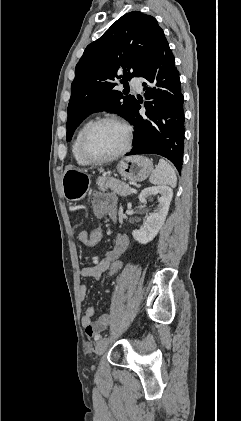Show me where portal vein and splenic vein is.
<instances>
[{"label":"portal vein and splenic vein","mask_w":241,"mask_h":421,"mask_svg":"<svg viewBox=\"0 0 241 421\" xmlns=\"http://www.w3.org/2000/svg\"><path fill=\"white\" fill-rule=\"evenodd\" d=\"M131 191H132V193H136L137 192L136 189H134V188H131Z\"/></svg>","instance_id":"obj_1"}]
</instances>
